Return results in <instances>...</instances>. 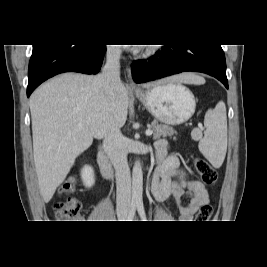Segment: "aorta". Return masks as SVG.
<instances>
[{
	"label": "aorta",
	"mask_w": 267,
	"mask_h": 267,
	"mask_svg": "<svg viewBox=\"0 0 267 267\" xmlns=\"http://www.w3.org/2000/svg\"><path fill=\"white\" fill-rule=\"evenodd\" d=\"M143 172L139 161H136L132 171V199L135 202L142 201Z\"/></svg>",
	"instance_id": "762f6f07"
}]
</instances>
